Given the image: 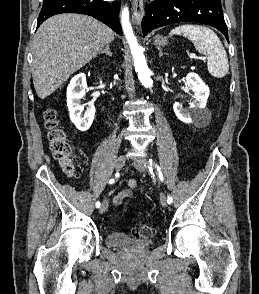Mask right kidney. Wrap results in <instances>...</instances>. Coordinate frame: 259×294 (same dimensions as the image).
Masks as SVG:
<instances>
[{
	"mask_svg": "<svg viewBox=\"0 0 259 294\" xmlns=\"http://www.w3.org/2000/svg\"><path fill=\"white\" fill-rule=\"evenodd\" d=\"M86 88L87 83L84 73L74 76L67 87V106L70 119L80 131L88 130L95 116V107L91 103H88V107L83 113L84 104H81V99L85 96Z\"/></svg>",
	"mask_w": 259,
	"mask_h": 294,
	"instance_id": "1",
	"label": "right kidney"
}]
</instances>
